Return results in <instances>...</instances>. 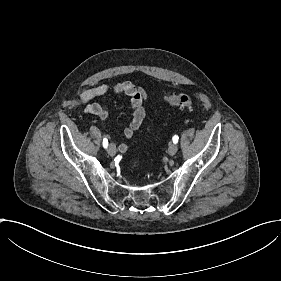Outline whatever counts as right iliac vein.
<instances>
[{
	"label": "right iliac vein",
	"instance_id": "right-iliac-vein-1",
	"mask_svg": "<svg viewBox=\"0 0 281 281\" xmlns=\"http://www.w3.org/2000/svg\"><path fill=\"white\" fill-rule=\"evenodd\" d=\"M106 151H107L108 154L113 155V154L116 153L117 150H116L115 145L111 143V144L108 145Z\"/></svg>",
	"mask_w": 281,
	"mask_h": 281
}]
</instances>
